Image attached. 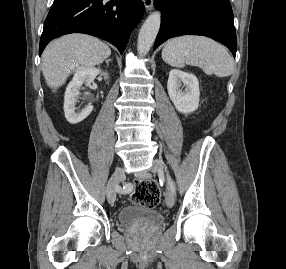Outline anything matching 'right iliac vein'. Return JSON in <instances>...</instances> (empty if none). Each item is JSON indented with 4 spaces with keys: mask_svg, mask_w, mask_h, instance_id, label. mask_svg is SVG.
<instances>
[{
    "mask_svg": "<svg viewBox=\"0 0 286 269\" xmlns=\"http://www.w3.org/2000/svg\"><path fill=\"white\" fill-rule=\"evenodd\" d=\"M125 178L124 170L122 168H118L112 174L111 178L107 184V199L109 203L113 204L116 199V187L117 185L123 181Z\"/></svg>",
    "mask_w": 286,
    "mask_h": 269,
    "instance_id": "63e3f726",
    "label": "right iliac vein"
}]
</instances>
